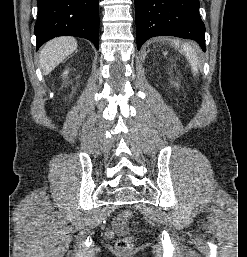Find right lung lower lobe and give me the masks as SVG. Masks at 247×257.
<instances>
[{"instance_id": "1", "label": "right lung lower lobe", "mask_w": 247, "mask_h": 257, "mask_svg": "<svg viewBox=\"0 0 247 257\" xmlns=\"http://www.w3.org/2000/svg\"><path fill=\"white\" fill-rule=\"evenodd\" d=\"M37 49L57 36H76L99 47L98 0H38Z\"/></svg>"}]
</instances>
